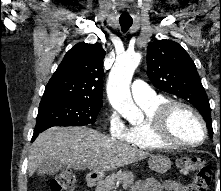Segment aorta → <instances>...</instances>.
<instances>
[{
  "label": "aorta",
  "mask_w": 221,
  "mask_h": 191,
  "mask_svg": "<svg viewBox=\"0 0 221 191\" xmlns=\"http://www.w3.org/2000/svg\"><path fill=\"white\" fill-rule=\"evenodd\" d=\"M140 61L141 54L138 52H127L118 57L107 82V95L111 105L129 121L141 116V111L134 104L130 93L131 79Z\"/></svg>",
  "instance_id": "762f6f07"
}]
</instances>
